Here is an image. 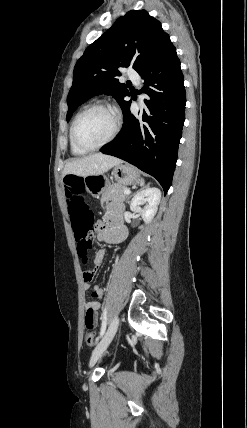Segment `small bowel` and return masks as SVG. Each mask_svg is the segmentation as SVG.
<instances>
[{"mask_svg":"<svg viewBox=\"0 0 247 428\" xmlns=\"http://www.w3.org/2000/svg\"><path fill=\"white\" fill-rule=\"evenodd\" d=\"M99 231H100V238L109 243H120L126 238L127 228L124 226L119 210L116 207L111 206L108 208L104 218V222L99 227ZM105 253L106 251L104 249H100L96 253L94 258V270H97L100 267L105 257ZM83 277H84V283H83L84 289L86 290L90 289L91 288L90 282L94 277L93 271H86ZM91 295L95 299H101L103 297V290L99 286L95 285L92 287ZM87 309L88 307L85 304V319L87 318V312H88Z\"/></svg>","mask_w":247,"mask_h":428,"instance_id":"1","label":"small bowel"}]
</instances>
